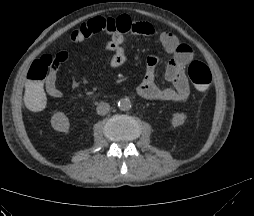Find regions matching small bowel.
<instances>
[{
    "label": "small bowel",
    "instance_id": "obj_1",
    "mask_svg": "<svg viewBox=\"0 0 254 216\" xmlns=\"http://www.w3.org/2000/svg\"><path fill=\"white\" fill-rule=\"evenodd\" d=\"M98 32L110 35L108 42L96 45L95 48L112 52L110 66L114 69L120 68L126 62L124 49L126 34L158 38L164 50L171 55L164 76L172 87L162 88L155 83L159 59L155 55H150L147 57L144 78L137 88L138 95L156 101H185L189 97L190 87L185 75V67L193 58V50L189 44L181 42L169 31L159 30L149 22L133 21L127 16L117 19L95 18L74 30L70 34V40L79 43ZM58 56L60 62H63L69 54L67 51H61ZM72 84L77 86V81L73 80ZM45 91L52 98L62 97L63 92L57 85V70L49 71L45 79Z\"/></svg>",
    "mask_w": 254,
    "mask_h": 216
}]
</instances>
